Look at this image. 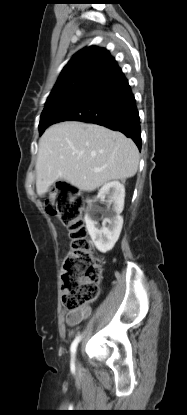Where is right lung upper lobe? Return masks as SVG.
Masks as SVG:
<instances>
[{"label": "right lung upper lobe", "instance_id": "cb5924a9", "mask_svg": "<svg viewBox=\"0 0 187 415\" xmlns=\"http://www.w3.org/2000/svg\"><path fill=\"white\" fill-rule=\"evenodd\" d=\"M114 60L109 51L96 46H90L77 52L63 68L44 109L63 99L78 81Z\"/></svg>", "mask_w": 187, "mask_h": 415}]
</instances>
